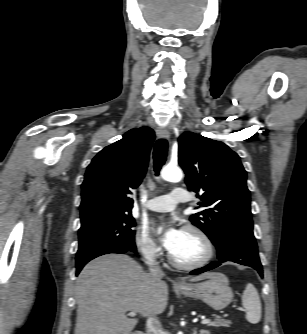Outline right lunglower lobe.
<instances>
[{
  "label": "right lung lower lobe",
  "instance_id": "98d812e1",
  "mask_svg": "<svg viewBox=\"0 0 307 334\" xmlns=\"http://www.w3.org/2000/svg\"><path fill=\"white\" fill-rule=\"evenodd\" d=\"M131 252H136V248H134V249H130V250H127V251H125V250L109 251V252L103 253V254H101V255L108 254V253H120V254L127 253V254H130ZM98 256H100V255H98ZM98 256H96V257H98ZM96 257H94V258H96ZM92 259H93V258H92ZM92 259H90V260H92ZM90 260H89V261H90ZM87 262H88V261H87ZM87 262H85V263L82 264V265L77 266L76 275L79 274V272L81 271V269L83 268V266H84Z\"/></svg>",
  "mask_w": 307,
  "mask_h": 334
}]
</instances>
